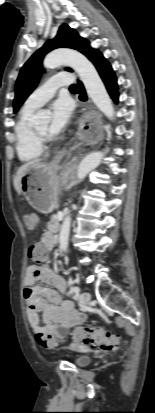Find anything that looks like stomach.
<instances>
[{
	"label": "stomach",
	"mask_w": 155,
	"mask_h": 413,
	"mask_svg": "<svg viewBox=\"0 0 155 413\" xmlns=\"http://www.w3.org/2000/svg\"><path fill=\"white\" fill-rule=\"evenodd\" d=\"M67 182V174L58 175L54 163H36L21 178V194L28 203L42 213L58 207L60 187Z\"/></svg>",
	"instance_id": "1"
}]
</instances>
